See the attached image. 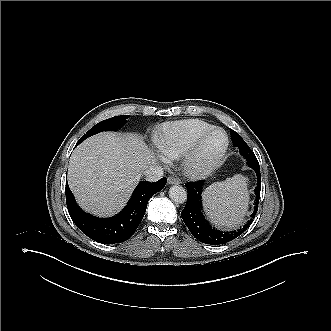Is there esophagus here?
Here are the masks:
<instances>
[{
  "label": "esophagus",
  "instance_id": "obj_1",
  "mask_svg": "<svg viewBox=\"0 0 331 331\" xmlns=\"http://www.w3.org/2000/svg\"><path fill=\"white\" fill-rule=\"evenodd\" d=\"M167 182H168V184H171V185H173V184H180L181 183L180 179L177 178V177H175V176L168 177Z\"/></svg>",
  "mask_w": 331,
  "mask_h": 331
}]
</instances>
